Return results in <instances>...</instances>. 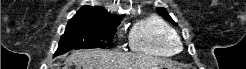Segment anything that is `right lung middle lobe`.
<instances>
[{
	"label": "right lung middle lobe",
	"instance_id": "obj_1",
	"mask_svg": "<svg viewBox=\"0 0 246 69\" xmlns=\"http://www.w3.org/2000/svg\"><path fill=\"white\" fill-rule=\"evenodd\" d=\"M120 21H69L54 57L71 49L106 48Z\"/></svg>",
	"mask_w": 246,
	"mask_h": 69
}]
</instances>
